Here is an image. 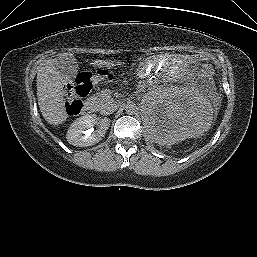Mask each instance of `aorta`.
I'll return each instance as SVG.
<instances>
[{"label": "aorta", "instance_id": "aorta-1", "mask_svg": "<svg viewBox=\"0 0 257 257\" xmlns=\"http://www.w3.org/2000/svg\"><path fill=\"white\" fill-rule=\"evenodd\" d=\"M125 111L129 115L135 114L138 111V106L134 102H129L125 106Z\"/></svg>", "mask_w": 257, "mask_h": 257}]
</instances>
